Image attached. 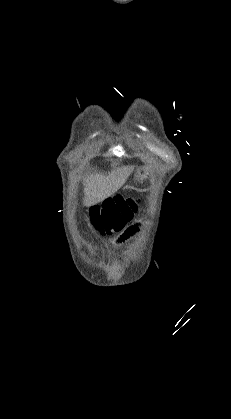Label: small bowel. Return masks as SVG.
<instances>
[{
	"label": "small bowel",
	"instance_id": "small-bowel-1",
	"mask_svg": "<svg viewBox=\"0 0 231 419\" xmlns=\"http://www.w3.org/2000/svg\"><path fill=\"white\" fill-rule=\"evenodd\" d=\"M139 230V226H130L122 234H120L115 240V244L120 245L125 243L131 236H133Z\"/></svg>",
	"mask_w": 231,
	"mask_h": 419
}]
</instances>
